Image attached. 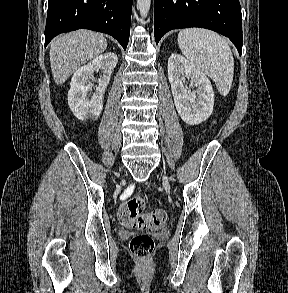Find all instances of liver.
Listing matches in <instances>:
<instances>
[{
	"mask_svg": "<svg viewBox=\"0 0 288 293\" xmlns=\"http://www.w3.org/2000/svg\"><path fill=\"white\" fill-rule=\"evenodd\" d=\"M106 47L103 35L84 29L53 39L50 43V65L56 84H63L83 64L100 56Z\"/></svg>",
	"mask_w": 288,
	"mask_h": 293,
	"instance_id": "obj_1",
	"label": "liver"
}]
</instances>
